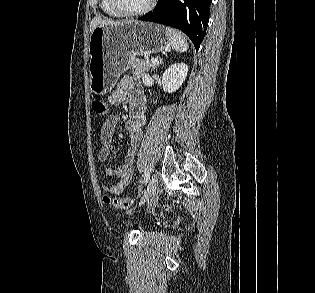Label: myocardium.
Wrapping results in <instances>:
<instances>
[{
	"label": "myocardium",
	"instance_id": "f54148a6",
	"mask_svg": "<svg viewBox=\"0 0 315 293\" xmlns=\"http://www.w3.org/2000/svg\"><path fill=\"white\" fill-rule=\"evenodd\" d=\"M110 2H111L112 8L118 14H120L121 16H124V17H135V16L144 15V14L148 13L149 11H151L156 4V0H150L144 8H142L140 10H136V11H130V10L125 9L122 6L120 0H110Z\"/></svg>",
	"mask_w": 315,
	"mask_h": 293
}]
</instances>
